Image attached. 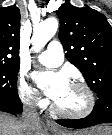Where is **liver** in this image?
Instances as JSON below:
<instances>
[{
	"mask_svg": "<svg viewBox=\"0 0 112 135\" xmlns=\"http://www.w3.org/2000/svg\"><path fill=\"white\" fill-rule=\"evenodd\" d=\"M0 135H45V131L40 123L34 128H27L22 121L0 112Z\"/></svg>",
	"mask_w": 112,
	"mask_h": 135,
	"instance_id": "liver-1",
	"label": "liver"
}]
</instances>
